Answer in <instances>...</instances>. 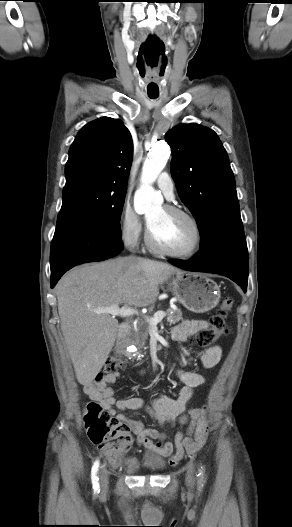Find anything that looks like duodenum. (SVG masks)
Here are the masks:
<instances>
[{"label": "duodenum", "mask_w": 292, "mask_h": 527, "mask_svg": "<svg viewBox=\"0 0 292 527\" xmlns=\"http://www.w3.org/2000/svg\"><path fill=\"white\" fill-rule=\"evenodd\" d=\"M130 329V325L128 323H122L119 327L118 331V339H123L126 337Z\"/></svg>", "instance_id": "1"}]
</instances>
